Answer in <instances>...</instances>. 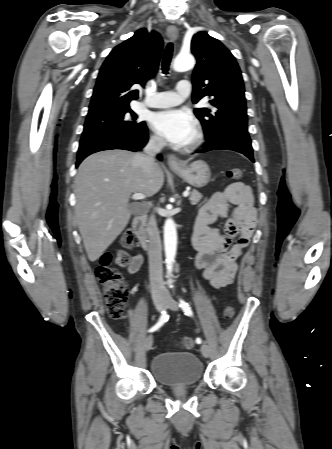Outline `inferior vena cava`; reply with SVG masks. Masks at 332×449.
<instances>
[{
  "instance_id": "obj_1",
  "label": "inferior vena cava",
  "mask_w": 332,
  "mask_h": 449,
  "mask_svg": "<svg viewBox=\"0 0 332 449\" xmlns=\"http://www.w3.org/2000/svg\"><path fill=\"white\" fill-rule=\"evenodd\" d=\"M166 141L161 137H153L144 147L142 153L135 155V162L142 170L150 174L155 166V156L161 152ZM147 233L149 237V275L152 295L165 292L162 272V245L154 215L149 218Z\"/></svg>"
}]
</instances>
